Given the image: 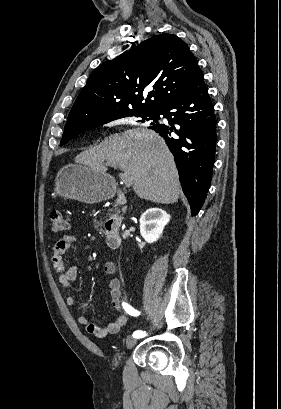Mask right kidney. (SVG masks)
<instances>
[{
	"instance_id": "obj_1",
	"label": "right kidney",
	"mask_w": 281,
	"mask_h": 409,
	"mask_svg": "<svg viewBox=\"0 0 281 409\" xmlns=\"http://www.w3.org/2000/svg\"><path fill=\"white\" fill-rule=\"evenodd\" d=\"M170 219V215L163 209H158V207L147 209L140 217V233L146 243L158 241Z\"/></svg>"
}]
</instances>
